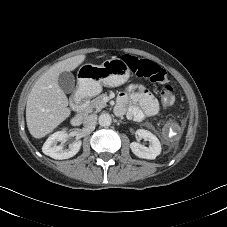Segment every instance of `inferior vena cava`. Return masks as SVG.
<instances>
[{
    "instance_id": "1",
    "label": "inferior vena cava",
    "mask_w": 227,
    "mask_h": 227,
    "mask_svg": "<svg viewBox=\"0 0 227 227\" xmlns=\"http://www.w3.org/2000/svg\"><path fill=\"white\" fill-rule=\"evenodd\" d=\"M96 123H97V115L96 114H90V115H87L85 118H84V126L87 127V128H94L96 126Z\"/></svg>"
}]
</instances>
